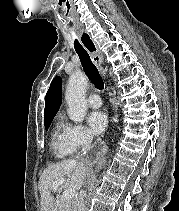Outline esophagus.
Listing matches in <instances>:
<instances>
[{
    "mask_svg": "<svg viewBox=\"0 0 179 211\" xmlns=\"http://www.w3.org/2000/svg\"><path fill=\"white\" fill-rule=\"evenodd\" d=\"M82 42L87 47L88 53H91L96 66L101 67L102 56L96 51L93 42L87 34L82 36ZM104 149H107V144H93V147H88V151H83L85 163H96V156H100V152H103Z\"/></svg>",
    "mask_w": 179,
    "mask_h": 211,
    "instance_id": "obj_1",
    "label": "esophagus"
}]
</instances>
